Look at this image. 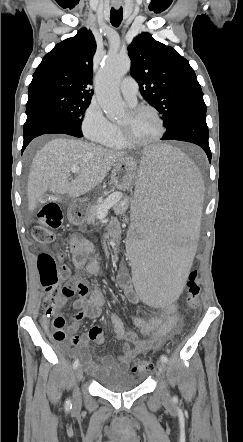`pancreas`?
I'll return each instance as SVG.
<instances>
[{"label":"pancreas","instance_id":"obj_1","mask_svg":"<svg viewBox=\"0 0 243 442\" xmlns=\"http://www.w3.org/2000/svg\"><path fill=\"white\" fill-rule=\"evenodd\" d=\"M109 198V197H108ZM107 198V199H108ZM106 199V200H107ZM104 200L103 202H97L96 204H93L88 212H87V222L90 224L93 221H95L97 219V210L98 208L106 201ZM128 209V202L124 201V202H117L114 206H113V210L115 211V213L117 215L123 214L126 212V210Z\"/></svg>","mask_w":243,"mask_h":442}]
</instances>
